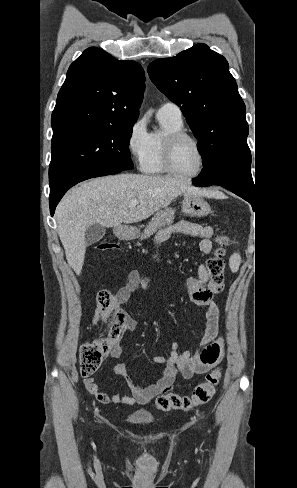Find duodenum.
<instances>
[{"label": "duodenum", "instance_id": "1", "mask_svg": "<svg viewBox=\"0 0 297 488\" xmlns=\"http://www.w3.org/2000/svg\"><path fill=\"white\" fill-rule=\"evenodd\" d=\"M118 235L121 239H126L128 237V231L126 228H119L118 229Z\"/></svg>", "mask_w": 297, "mask_h": 488}]
</instances>
